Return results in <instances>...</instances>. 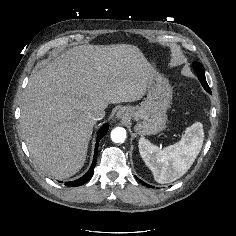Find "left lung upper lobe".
<instances>
[{
  "instance_id": "1",
  "label": "left lung upper lobe",
  "mask_w": 236,
  "mask_h": 236,
  "mask_svg": "<svg viewBox=\"0 0 236 236\" xmlns=\"http://www.w3.org/2000/svg\"><path fill=\"white\" fill-rule=\"evenodd\" d=\"M193 67L195 68V71L197 72L198 78H199L202 86L204 87V89L207 92L211 93V90H210V88H209V86L207 84L206 78H205V73H204L203 66L200 63H198V62H194L193 63Z\"/></svg>"
}]
</instances>
